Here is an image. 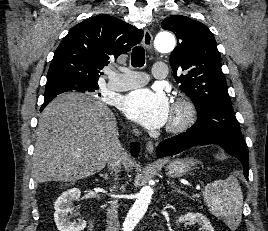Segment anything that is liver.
I'll use <instances>...</instances> for the list:
<instances>
[{
    "instance_id": "6515ba94",
    "label": "liver",
    "mask_w": 268,
    "mask_h": 231,
    "mask_svg": "<svg viewBox=\"0 0 268 231\" xmlns=\"http://www.w3.org/2000/svg\"><path fill=\"white\" fill-rule=\"evenodd\" d=\"M116 118L101 100L64 93L42 111L33 154L35 181L74 182L101 171L116 156L133 163L119 138Z\"/></svg>"
}]
</instances>
